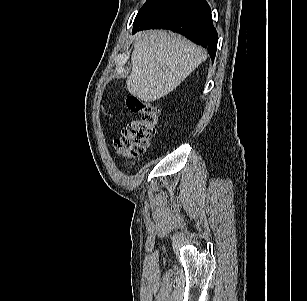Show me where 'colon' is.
<instances>
[{
	"label": "colon",
	"instance_id": "obj_1",
	"mask_svg": "<svg viewBox=\"0 0 307 301\" xmlns=\"http://www.w3.org/2000/svg\"><path fill=\"white\" fill-rule=\"evenodd\" d=\"M127 106L137 117L122 130L115 148L122 156L134 160L146 152L159 121L160 108L155 102L137 98H129Z\"/></svg>",
	"mask_w": 307,
	"mask_h": 301
}]
</instances>
